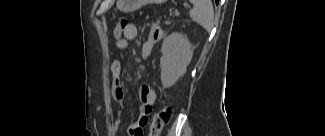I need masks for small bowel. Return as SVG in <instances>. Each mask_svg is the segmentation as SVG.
<instances>
[{"label":"small bowel","mask_w":325,"mask_h":136,"mask_svg":"<svg viewBox=\"0 0 325 136\" xmlns=\"http://www.w3.org/2000/svg\"><path fill=\"white\" fill-rule=\"evenodd\" d=\"M137 27L133 23H128L120 32V35H117V32L114 31V40H115V48L118 51H123L127 48L128 43L135 40L137 37ZM162 37V29L160 26H153L146 40L143 42L141 46V55L143 57H148L151 53L153 45L158 42ZM111 73L113 76V96L115 101L117 102L116 108V117L114 121V125L118 128L123 120V102L125 99V91L123 85L120 80V76L122 73L123 65L119 60H114L110 66ZM139 99V112L136 120L132 122L128 127V133L132 136H144L145 133L143 131L144 127L149 122V117L152 111V105L155 100V94L153 89L149 85H142L139 89L138 93Z\"/></svg>","instance_id":"obj_1"}]
</instances>
